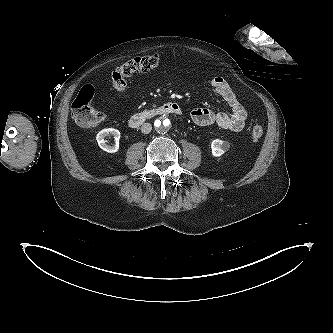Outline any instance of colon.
Instances as JSON below:
<instances>
[{"instance_id":"colon-1","label":"colon","mask_w":333,"mask_h":333,"mask_svg":"<svg viewBox=\"0 0 333 333\" xmlns=\"http://www.w3.org/2000/svg\"><path fill=\"white\" fill-rule=\"evenodd\" d=\"M160 61V57L156 54L128 60L112 72L113 87L118 91L125 90L129 77L138 72H146L157 68ZM94 97L95 88L86 85L79 91L72 103V116L75 122L82 127L96 126L105 120V114L93 106ZM263 132V127L260 124H255L251 128L250 137L253 141H258L263 136Z\"/></svg>"}]
</instances>
